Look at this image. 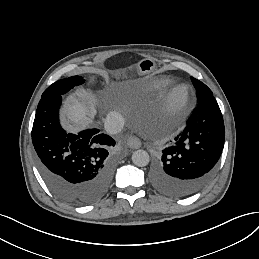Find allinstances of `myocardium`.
<instances>
[{"label": "myocardium", "mask_w": 259, "mask_h": 259, "mask_svg": "<svg viewBox=\"0 0 259 259\" xmlns=\"http://www.w3.org/2000/svg\"><path fill=\"white\" fill-rule=\"evenodd\" d=\"M140 80H141V82H142V84L144 86H149L150 84H152L154 82L165 83V82L179 81V79L176 78L173 75L169 76V77H166V78L156 77V78H151V79H140ZM183 83H185L186 86L189 89L190 100H189L188 104L180 111L179 119L185 118L190 113V111L195 107V104H196V91H195V88L191 84H189V83H186V82H183Z\"/></svg>", "instance_id": "f54148a6"}]
</instances>
